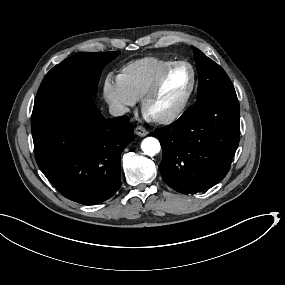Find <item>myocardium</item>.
Returning a JSON list of instances; mask_svg holds the SVG:
<instances>
[{"label":"myocardium","mask_w":285,"mask_h":285,"mask_svg":"<svg viewBox=\"0 0 285 285\" xmlns=\"http://www.w3.org/2000/svg\"><path fill=\"white\" fill-rule=\"evenodd\" d=\"M177 72H183V68L182 67H174V68H169L167 69L156 81V83L149 88L140 98V106H141V110L145 111L147 108V105L149 104L150 100L152 99L153 96H155L164 86V84L166 83V81L175 73ZM190 76H191V81L189 84V88L182 100V102L173 110L168 111L160 116L155 117V119L160 122V123H168L171 122L175 119H177L186 109V107L188 106L191 97H192V93L194 90V86H195V76H194V72L190 69Z\"/></svg>","instance_id":"1"}]
</instances>
